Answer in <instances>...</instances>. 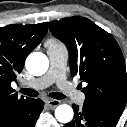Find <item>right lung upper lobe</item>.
Returning a JSON list of instances; mask_svg holds the SVG:
<instances>
[{
  "instance_id": "right-lung-upper-lobe-1",
  "label": "right lung upper lobe",
  "mask_w": 127,
  "mask_h": 127,
  "mask_svg": "<svg viewBox=\"0 0 127 127\" xmlns=\"http://www.w3.org/2000/svg\"><path fill=\"white\" fill-rule=\"evenodd\" d=\"M47 30V23L0 28V127L18 120L29 108L32 98L18 97L10 84L21 73L26 57L41 42Z\"/></svg>"
}]
</instances>
